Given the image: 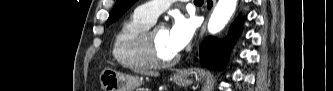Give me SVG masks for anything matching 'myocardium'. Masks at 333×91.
I'll return each mask as SVG.
<instances>
[{
  "label": "myocardium",
  "instance_id": "f54148a6",
  "mask_svg": "<svg viewBox=\"0 0 333 91\" xmlns=\"http://www.w3.org/2000/svg\"><path fill=\"white\" fill-rule=\"evenodd\" d=\"M159 27V25L152 24L147 30H145L141 37V44L148 64L151 67L165 68L175 64L179 59V55L176 54L170 59H162L159 56L154 42V33Z\"/></svg>",
  "mask_w": 333,
  "mask_h": 91
}]
</instances>
